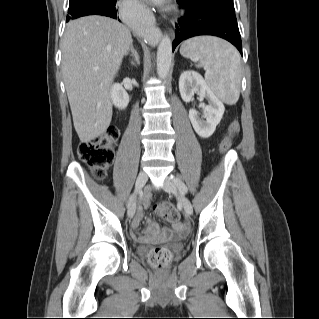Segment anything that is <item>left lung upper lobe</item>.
Segmentation results:
<instances>
[{"instance_id": "1", "label": "left lung upper lobe", "mask_w": 319, "mask_h": 319, "mask_svg": "<svg viewBox=\"0 0 319 319\" xmlns=\"http://www.w3.org/2000/svg\"><path fill=\"white\" fill-rule=\"evenodd\" d=\"M183 1H189V0H183ZM194 1H198L204 5H208L211 7L223 9L231 13H235L233 0H194Z\"/></svg>"}]
</instances>
